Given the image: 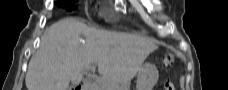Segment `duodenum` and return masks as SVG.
Instances as JSON below:
<instances>
[{"label": "duodenum", "instance_id": "410a0bca", "mask_svg": "<svg viewBox=\"0 0 228 90\" xmlns=\"http://www.w3.org/2000/svg\"><path fill=\"white\" fill-rule=\"evenodd\" d=\"M74 90H86L83 86H77Z\"/></svg>", "mask_w": 228, "mask_h": 90}]
</instances>
